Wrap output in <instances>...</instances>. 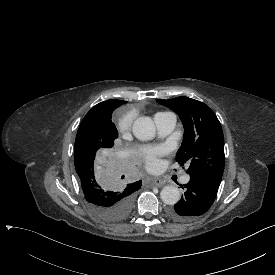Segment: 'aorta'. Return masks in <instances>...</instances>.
<instances>
[{
	"instance_id": "1",
	"label": "aorta",
	"mask_w": 275,
	"mask_h": 275,
	"mask_svg": "<svg viewBox=\"0 0 275 275\" xmlns=\"http://www.w3.org/2000/svg\"><path fill=\"white\" fill-rule=\"evenodd\" d=\"M133 134L141 140H152L156 134V127L153 120L150 117H139L133 123ZM161 200L167 205L176 204L180 198L181 193L178 188L169 185L165 186L160 192Z\"/></svg>"
}]
</instances>
